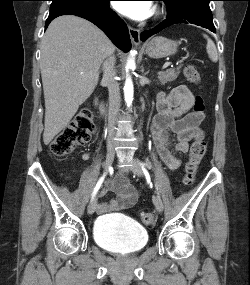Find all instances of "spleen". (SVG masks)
<instances>
[{
  "mask_svg": "<svg viewBox=\"0 0 250 285\" xmlns=\"http://www.w3.org/2000/svg\"><path fill=\"white\" fill-rule=\"evenodd\" d=\"M204 37L207 39L206 50H207V53H208L210 60L213 62H217L218 61V52H217V49H216L214 42L207 35H204Z\"/></svg>",
  "mask_w": 250,
  "mask_h": 285,
  "instance_id": "1",
  "label": "spleen"
}]
</instances>
